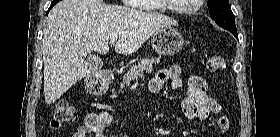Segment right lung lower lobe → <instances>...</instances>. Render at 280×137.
I'll return each instance as SVG.
<instances>
[{
    "label": "right lung lower lobe",
    "instance_id": "obj_1",
    "mask_svg": "<svg viewBox=\"0 0 280 137\" xmlns=\"http://www.w3.org/2000/svg\"><path fill=\"white\" fill-rule=\"evenodd\" d=\"M60 0H53V2L51 3V5H50V7H49V9H48V11H47V13H49V11H50V9L56 4V3H58Z\"/></svg>",
    "mask_w": 280,
    "mask_h": 137
}]
</instances>
